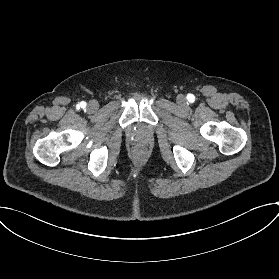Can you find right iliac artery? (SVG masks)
Instances as JSON below:
<instances>
[{
  "label": "right iliac artery",
  "mask_w": 279,
  "mask_h": 279,
  "mask_svg": "<svg viewBox=\"0 0 279 279\" xmlns=\"http://www.w3.org/2000/svg\"><path fill=\"white\" fill-rule=\"evenodd\" d=\"M78 106L81 107V108H84V107H86V103L85 102H81L80 105H78Z\"/></svg>",
  "instance_id": "1"
}]
</instances>
